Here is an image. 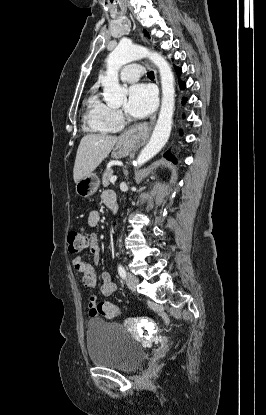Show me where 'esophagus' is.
<instances>
[{
    "label": "esophagus",
    "instance_id": "esophagus-1",
    "mask_svg": "<svg viewBox=\"0 0 266 415\" xmlns=\"http://www.w3.org/2000/svg\"><path fill=\"white\" fill-rule=\"evenodd\" d=\"M141 38H143V35H142V34H141ZM154 72H155V77L157 78V71H156L155 67H154ZM156 115H157V112H155V113H154V114L150 117V126H151V127H152V126L154 125V123H155V120H156ZM141 128H142V126H141V125H139V126H134V127L130 128V129L126 130V131L123 133L122 138H123V139H126V140H130V141H132V142H135V140H137L136 135L138 134V131H139Z\"/></svg>",
    "mask_w": 266,
    "mask_h": 415
}]
</instances>
